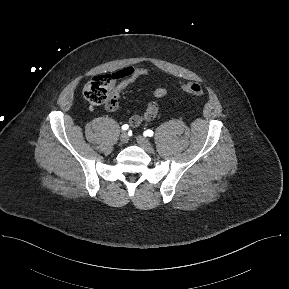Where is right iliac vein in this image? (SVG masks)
<instances>
[{
  "mask_svg": "<svg viewBox=\"0 0 289 289\" xmlns=\"http://www.w3.org/2000/svg\"><path fill=\"white\" fill-rule=\"evenodd\" d=\"M128 140H129V136H128L127 132H122L120 135V141L122 143H127Z\"/></svg>",
  "mask_w": 289,
  "mask_h": 289,
  "instance_id": "right-iliac-vein-1",
  "label": "right iliac vein"
}]
</instances>
